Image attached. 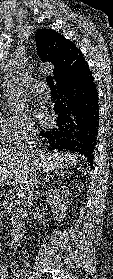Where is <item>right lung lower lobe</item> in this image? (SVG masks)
I'll return each instance as SVG.
<instances>
[{
  "instance_id": "1",
  "label": "right lung lower lobe",
  "mask_w": 113,
  "mask_h": 279,
  "mask_svg": "<svg viewBox=\"0 0 113 279\" xmlns=\"http://www.w3.org/2000/svg\"><path fill=\"white\" fill-rule=\"evenodd\" d=\"M55 127L40 132L51 151L82 154L93 165L99 127L98 92L88 64L76 76L57 84Z\"/></svg>"
}]
</instances>
